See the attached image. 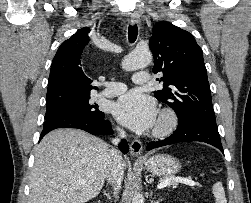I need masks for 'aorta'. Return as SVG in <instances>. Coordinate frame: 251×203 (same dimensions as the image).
I'll use <instances>...</instances> for the list:
<instances>
[{
  "mask_svg": "<svg viewBox=\"0 0 251 203\" xmlns=\"http://www.w3.org/2000/svg\"><path fill=\"white\" fill-rule=\"evenodd\" d=\"M152 61V55L149 50H135L122 61V68L132 71L144 68ZM132 203H144L143 197L136 193L132 198Z\"/></svg>",
  "mask_w": 251,
  "mask_h": 203,
  "instance_id": "1",
  "label": "aorta"
}]
</instances>
